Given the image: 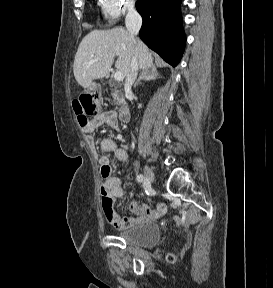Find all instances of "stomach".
I'll return each instance as SVG.
<instances>
[{
  "instance_id": "stomach-1",
  "label": "stomach",
  "mask_w": 273,
  "mask_h": 288,
  "mask_svg": "<svg viewBox=\"0 0 273 288\" xmlns=\"http://www.w3.org/2000/svg\"><path fill=\"white\" fill-rule=\"evenodd\" d=\"M90 88H96V84L95 83H91Z\"/></svg>"
}]
</instances>
